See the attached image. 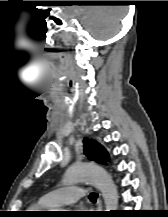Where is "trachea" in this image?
<instances>
[{
  "label": "trachea",
  "instance_id": "obj_1",
  "mask_svg": "<svg viewBox=\"0 0 168 217\" xmlns=\"http://www.w3.org/2000/svg\"><path fill=\"white\" fill-rule=\"evenodd\" d=\"M97 197H98V194H97V193H91V194L89 195V199H90L91 201H93V202L96 201Z\"/></svg>",
  "mask_w": 168,
  "mask_h": 217
}]
</instances>
